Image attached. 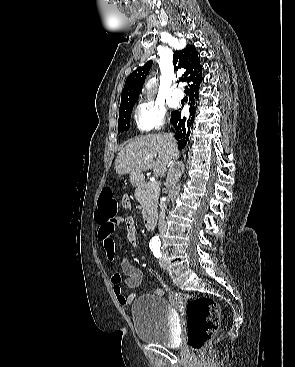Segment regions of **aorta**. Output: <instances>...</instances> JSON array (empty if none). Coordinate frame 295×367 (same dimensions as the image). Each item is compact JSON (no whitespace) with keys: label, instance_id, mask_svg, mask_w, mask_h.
<instances>
[{"label":"aorta","instance_id":"1","mask_svg":"<svg viewBox=\"0 0 295 367\" xmlns=\"http://www.w3.org/2000/svg\"><path fill=\"white\" fill-rule=\"evenodd\" d=\"M153 239H154V240H158L159 238L156 236V237H154Z\"/></svg>","mask_w":295,"mask_h":367}]
</instances>
